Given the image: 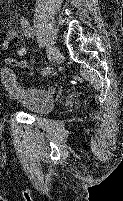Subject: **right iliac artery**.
<instances>
[{
  "label": "right iliac artery",
  "mask_w": 123,
  "mask_h": 201,
  "mask_svg": "<svg viewBox=\"0 0 123 201\" xmlns=\"http://www.w3.org/2000/svg\"><path fill=\"white\" fill-rule=\"evenodd\" d=\"M21 25H22V29L26 33V35L31 37L32 36L31 28L29 26L28 21L24 17L21 18ZM50 72H51V69L49 67H46L42 70V75H48V74H50Z\"/></svg>",
  "instance_id": "right-iliac-artery-1"
}]
</instances>
